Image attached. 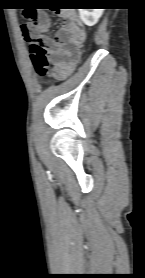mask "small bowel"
<instances>
[{
	"label": "small bowel",
	"mask_w": 145,
	"mask_h": 278,
	"mask_svg": "<svg viewBox=\"0 0 145 278\" xmlns=\"http://www.w3.org/2000/svg\"><path fill=\"white\" fill-rule=\"evenodd\" d=\"M64 22L52 37L50 19L40 13L34 20L21 25L24 36L37 39L46 49L51 63L50 74L63 78L70 73L81 58V45L85 40V31L74 13L62 14Z\"/></svg>",
	"instance_id": "1"
}]
</instances>
